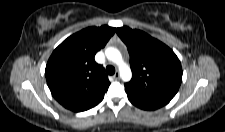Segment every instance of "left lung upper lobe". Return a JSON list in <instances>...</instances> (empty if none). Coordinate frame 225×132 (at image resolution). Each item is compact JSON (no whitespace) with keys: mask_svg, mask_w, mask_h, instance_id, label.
<instances>
[{"mask_svg":"<svg viewBox=\"0 0 225 132\" xmlns=\"http://www.w3.org/2000/svg\"><path fill=\"white\" fill-rule=\"evenodd\" d=\"M130 54L132 79L125 90L142 97L171 100L182 82V67L176 54L159 40L129 27L116 29Z\"/></svg>","mask_w":225,"mask_h":132,"instance_id":"obj_1","label":"left lung upper lobe"}]
</instances>
